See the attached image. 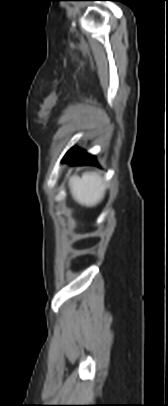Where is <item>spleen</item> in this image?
I'll use <instances>...</instances> for the list:
<instances>
[{
    "instance_id": "1",
    "label": "spleen",
    "mask_w": 168,
    "mask_h": 406,
    "mask_svg": "<svg viewBox=\"0 0 168 406\" xmlns=\"http://www.w3.org/2000/svg\"><path fill=\"white\" fill-rule=\"evenodd\" d=\"M106 185L101 176L94 172H86L79 177L70 179L72 197L86 207L96 206L105 195Z\"/></svg>"
}]
</instances>
